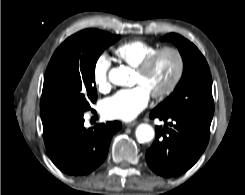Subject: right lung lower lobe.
I'll use <instances>...</instances> for the list:
<instances>
[{"instance_id":"1","label":"right lung lower lobe","mask_w":245,"mask_h":195,"mask_svg":"<svg viewBox=\"0 0 245 195\" xmlns=\"http://www.w3.org/2000/svg\"><path fill=\"white\" fill-rule=\"evenodd\" d=\"M83 115L43 124L48 156L64 173L85 175L105 160L113 134L121 128L118 121L83 126Z\"/></svg>"}]
</instances>
